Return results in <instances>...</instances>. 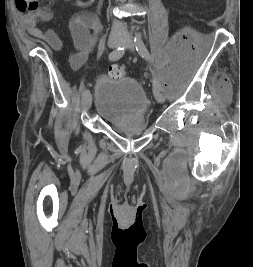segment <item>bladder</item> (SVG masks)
<instances>
[{"mask_svg": "<svg viewBox=\"0 0 253 267\" xmlns=\"http://www.w3.org/2000/svg\"><path fill=\"white\" fill-rule=\"evenodd\" d=\"M149 107L143 87L136 80L101 78L96 85V112L108 121L142 117Z\"/></svg>", "mask_w": 253, "mask_h": 267, "instance_id": "31cf9c89", "label": "bladder"}]
</instances>
